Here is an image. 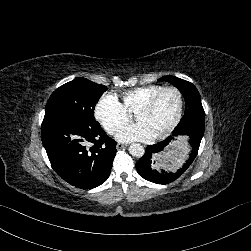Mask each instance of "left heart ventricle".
<instances>
[{
    "instance_id": "obj_1",
    "label": "left heart ventricle",
    "mask_w": 251,
    "mask_h": 251,
    "mask_svg": "<svg viewBox=\"0 0 251 251\" xmlns=\"http://www.w3.org/2000/svg\"><path fill=\"white\" fill-rule=\"evenodd\" d=\"M179 96L175 92L163 95L152 109H137L134 118L150 121L156 130L170 125L177 117L179 111Z\"/></svg>"
}]
</instances>
